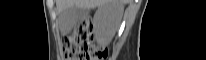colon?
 Wrapping results in <instances>:
<instances>
[{
	"mask_svg": "<svg viewBox=\"0 0 206 60\" xmlns=\"http://www.w3.org/2000/svg\"><path fill=\"white\" fill-rule=\"evenodd\" d=\"M89 20L79 23L72 34L66 35L62 53L65 60H101L107 57V51L94 45Z\"/></svg>",
	"mask_w": 206,
	"mask_h": 60,
	"instance_id": "5ec220e1",
	"label": "colon"
}]
</instances>
